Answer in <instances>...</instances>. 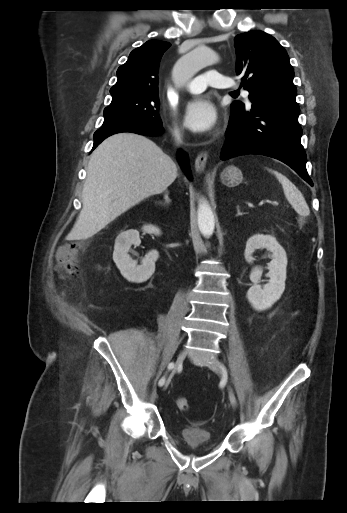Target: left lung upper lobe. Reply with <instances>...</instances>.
Listing matches in <instances>:
<instances>
[{"label":"left lung upper lobe","instance_id":"5c2ea615","mask_svg":"<svg viewBox=\"0 0 347 513\" xmlns=\"http://www.w3.org/2000/svg\"><path fill=\"white\" fill-rule=\"evenodd\" d=\"M236 72L242 78L249 99L296 98L294 70L286 50L278 41L262 31H249L234 39ZM231 106H244L234 101Z\"/></svg>","mask_w":347,"mask_h":513}]
</instances>
